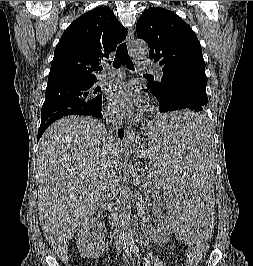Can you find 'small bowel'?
Returning <instances> with one entry per match:
<instances>
[{"mask_svg": "<svg viewBox=\"0 0 253 266\" xmlns=\"http://www.w3.org/2000/svg\"><path fill=\"white\" fill-rule=\"evenodd\" d=\"M147 260L149 261L150 265L152 266H163V263L160 259L154 256H148Z\"/></svg>", "mask_w": 253, "mask_h": 266, "instance_id": "obj_1", "label": "small bowel"}]
</instances>
